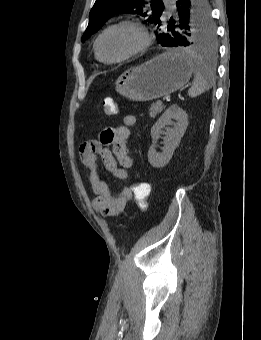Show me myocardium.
Instances as JSON below:
<instances>
[{"mask_svg": "<svg viewBox=\"0 0 261 340\" xmlns=\"http://www.w3.org/2000/svg\"><path fill=\"white\" fill-rule=\"evenodd\" d=\"M119 26H130V27L136 29L139 32L140 37H141L140 44L134 50H132L131 52H129V53L123 55V56H120V57L115 58V59H105L100 55V52H99L100 41H101L102 37L109 30L116 28V27H119ZM151 42H152L151 35H150L147 27L143 23H141L138 20H134V19H122V20L116 21V22L108 25L107 27H105L101 31V33L97 36V38L95 40L94 52H95L96 57L100 61L107 63V64H113V63H118V62L128 60V59L142 53L143 51H145L150 46Z\"/></svg>", "mask_w": 261, "mask_h": 340, "instance_id": "1", "label": "myocardium"}]
</instances>
